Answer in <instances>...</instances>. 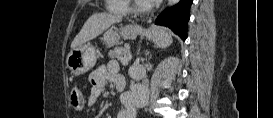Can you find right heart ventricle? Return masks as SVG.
<instances>
[{"label":"right heart ventricle","mask_w":273,"mask_h":118,"mask_svg":"<svg viewBox=\"0 0 273 118\" xmlns=\"http://www.w3.org/2000/svg\"><path fill=\"white\" fill-rule=\"evenodd\" d=\"M108 7L114 13H125L127 12L128 4L126 0H109Z\"/></svg>","instance_id":"obj_1"}]
</instances>
